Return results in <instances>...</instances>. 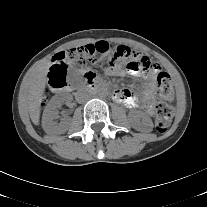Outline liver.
<instances>
[{"label":"liver","instance_id":"1","mask_svg":"<svg viewBox=\"0 0 207 207\" xmlns=\"http://www.w3.org/2000/svg\"><path fill=\"white\" fill-rule=\"evenodd\" d=\"M51 65L50 60L35 67L25 77L21 87V97L25 101L32 122L39 125L41 102L47 82V74Z\"/></svg>","mask_w":207,"mask_h":207}]
</instances>
